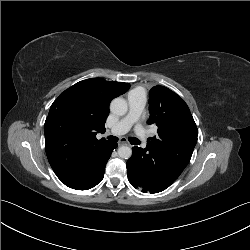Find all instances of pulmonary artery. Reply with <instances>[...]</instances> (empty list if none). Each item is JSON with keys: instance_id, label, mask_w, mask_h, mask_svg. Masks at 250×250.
Returning <instances> with one entry per match:
<instances>
[{"instance_id": "e3ab8cb5", "label": "pulmonary artery", "mask_w": 250, "mask_h": 250, "mask_svg": "<svg viewBox=\"0 0 250 250\" xmlns=\"http://www.w3.org/2000/svg\"><path fill=\"white\" fill-rule=\"evenodd\" d=\"M128 104V113L109 130V133L113 135L125 134L135 123H137L146 104V96L144 92L132 91L128 95ZM135 133L143 142V146H145L147 137L143 128L141 126H136Z\"/></svg>"}]
</instances>
